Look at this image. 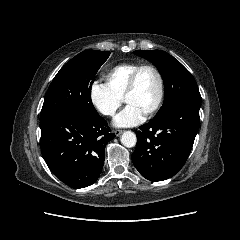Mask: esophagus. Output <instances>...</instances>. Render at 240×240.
Returning <instances> with one entry per match:
<instances>
[{"label": "esophagus", "mask_w": 240, "mask_h": 240, "mask_svg": "<svg viewBox=\"0 0 240 240\" xmlns=\"http://www.w3.org/2000/svg\"><path fill=\"white\" fill-rule=\"evenodd\" d=\"M122 130H115L114 133L116 136H120L122 134Z\"/></svg>", "instance_id": "1"}]
</instances>
